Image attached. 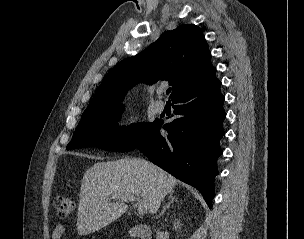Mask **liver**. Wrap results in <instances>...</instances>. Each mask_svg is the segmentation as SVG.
Segmentation results:
<instances>
[{"mask_svg":"<svg viewBox=\"0 0 304 239\" xmlns=\"http://www.w3.org/2000/svg\"><path fill=\"white\" fill-rule=\"evenodd\" d=\"M175 184L173 176L145 159L95 163L85 172L81 183L78 234L98 231L127 211L125 203L111 202L112 195L131 193L146 204L149 213L154 214Z\"/></svg>","mask_w":304,"mask_h":239,"instance_id":"liver-1","label":"liver"}]
</instances>
